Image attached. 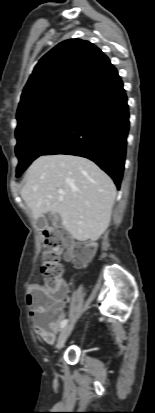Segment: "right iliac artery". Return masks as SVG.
Wrapping results in <instances>:
<instances>
[{
  "label": "right iliac artery",
  "instance_id": "obj_1",
  "mask_svg": "<svg viewBox=\"0 0 155 413\" xmlns=\"http://www.w3.org/2000/svg\"><path fill=\"white\" fill-rule=\"evenodd\" d=\"M67 323H68L67 319L63 320L61 323V328H64L67 325Z\"/></svg>",
  "mask_w": 155,
  "mask_h": 413
}]
</instances>
